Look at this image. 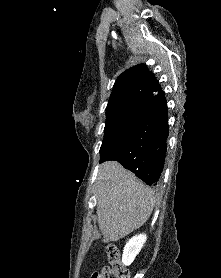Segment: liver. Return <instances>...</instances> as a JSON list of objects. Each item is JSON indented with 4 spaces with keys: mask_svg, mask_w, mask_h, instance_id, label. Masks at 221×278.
<instances>
[{
    "mask_svg": "<svg viewBox=\"0 0 221 278\" xmlns=\"http://www.w3.org/2000/svg\"><path fill=\"white\" fill-rule=\"evenodd\" d=\"M97 178V218L102 241H117L148 220L155 204L154 194L116 161L103 163Z\"/></svg>",
    "mask_w": 221,
    "mask_h": 278,
    "instance_id": "6515ba94",
    "label": "liver"
}]
</instances>
